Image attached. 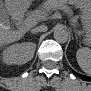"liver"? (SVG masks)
Here are the masks:
<instances>
[{"mask_svg":"<svg viewBox=\"0 0 91 91\" xmlns=\"http://www.w3.org/2000/svg\"><path fill=\"white\" fill-rule=\"evenodd\" d=\"M36 23H37V21L35 19H32L30 21L29 25H26L24 23V25H25L24 27H21L19 30H14V31L9 30V26L7 25L4 28V30L1 32V42L2 43H11V42L21 39L24 36V34L29 30V28L31 26L35 25ZM32 57H31V59H32Z\"/></svg>","mask_w":91,"mask_h":91,"instance_id":"obj_1","label":"liver"}]
</instances>
